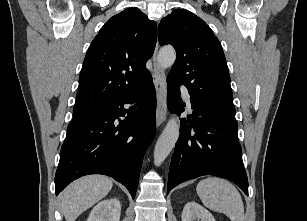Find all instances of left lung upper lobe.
<instances>
[{"label":"left lung upper lobe","instance_id":"5c2ea615","mask_svg":"<svg viewBox=\"0 0 307 221\" xmlns=\"http://www.w3.org/2000/svg\"><path fill=\"white\" fill-rule=\"evenodd\" d=\"M158 35L177 53L168 77L184 84L192 100L237 122L225 56L210 27L188 10H174L161 20Z\"/></svg>","mask_w":307,"mask_h":221}]
</instances>
